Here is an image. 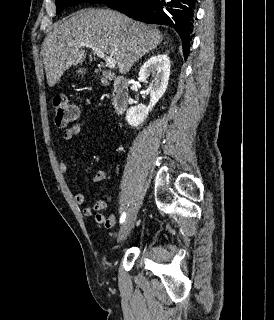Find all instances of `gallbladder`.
I'll list each match as a JSON object with an SVG mask.
<instances>
[{"instance_id": "gallbladder-1", "label": "gallbladder", "mask_w": 274, "mask_h": 320, "mask_svg": "<svg viewBox=\"0 0 274 320\" xmlns=\"http://www.w3.org/2000/svg\"><path fill=\"white\" fill-rule=\"evenodd\" d=\"M101 77L102 79H111L112 74L111 72H102Z\"/></svg>"}]
</instances>
